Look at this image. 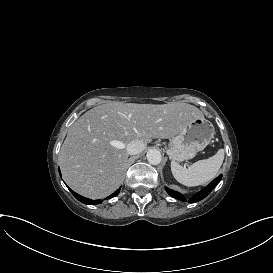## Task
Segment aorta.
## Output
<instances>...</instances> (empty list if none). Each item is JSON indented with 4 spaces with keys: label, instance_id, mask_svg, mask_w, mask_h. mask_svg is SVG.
<instances>
[{
    "label": "aorta",
    "instance_id": "obj_1",
    "mask_svg": "<svg viewBox=\"0 0 273 273\" xmlns=\"http://www.w3.org/2000/svg\"><path fill=\"white\" fill-rule=\"evenodd\" d=\"M146 157L148 162L152 165H158L161 163V160H162L161 153L157 149H150L147 152Z\"/></svg>",
    "mask_w": 273,
    "mask_h": 273
}]
</instances>
